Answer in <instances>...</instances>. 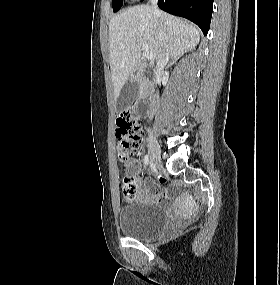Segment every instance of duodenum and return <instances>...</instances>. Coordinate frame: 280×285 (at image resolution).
Returning <instances> with one entry per match:
<instances>
[{
  "instance_id": "410a0bca",
  "label": "duodenum",
  "mask_w": 280,
  "mask_h": 285,
  "mask_svg": "<svg viewBox=\"0 0 280 285\" xmlns=\"http://www.w3.org/2000/svg\"><path fill=\"white\" fill-rule=\"evenodd\" d=\"M150 84H151V82H146L144 87H143V90H142L141 103L143 106V111L141 114L143 115V117H147V115H148V103H149V100L151 98Z\"/></svg>"
}]
</instances>
